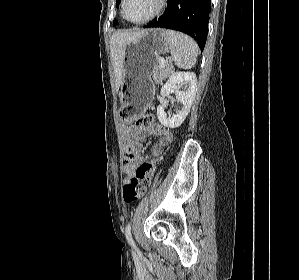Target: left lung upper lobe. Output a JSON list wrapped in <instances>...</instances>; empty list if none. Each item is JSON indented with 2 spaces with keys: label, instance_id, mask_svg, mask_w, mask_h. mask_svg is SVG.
I'll return each instance as SVG.
<instances>
[{
  "label": "left lung upper lobe",
  "instance_id": "5c2ea615",
  "mask_svg": "<svg viewBox=\"0 0 299 280\" xmlns=\"http://www.w3.org/2000/svg\"><path fill=\"white\" fill-rule=\"evenodd\" d=\"M119 3H120V0H117V7H118ZM117 24H118V22L116 20H114L113 21V26H116Z\"/></svg>",
  "mask_w": 299,
  "mask_h": 280
}]
</instances>
